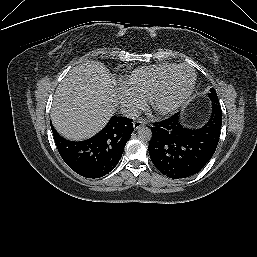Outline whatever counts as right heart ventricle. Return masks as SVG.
Wrapping results in <instances>:
<instances>
[{
  "mask_svg": "<svg viewBox=\"0 0 257 257\" xmlns=\"http://www.w3.org/2000/svg\"><path fill=\"white\" fill-rule=\"evenodd\" d=\"M174 66V64L163 63L138 68L124 78L122 81L123 88L146 100L159 79Z\"/></svg>",
  "mask_w": 257,
  "mask_h": 257,
  "instance_id": "obj_1",
  "label": "right heart ventricle"
}]
</instances>
